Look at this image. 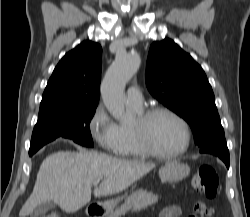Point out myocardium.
<instances>
[{
	"label": "myocardium",
	"mask_w": 250,
	"mask_h": 217,
	"mask_svg": "<svg viewBox=\"0 0 250 217\" xmlns=\"http://www.w3.org/2000/svg\"><path fill=\"white\" fill-rule=\"evenodd\" d=\"M164 113L170 115L175 120H177L183 128L184 131V144L183 146L173 152L163 153L157 150L149 140L147 133V125L151 118L157 114ZM133 132L135 134L136 140L141 147V149L149 156L160 158V159H170L178 157L184 154L190 146L191 143V131L187 121L176 111L166 106H152L144 111H142L137 118V123L133 126Z\"/></svg>",
	"instance_id": "obj_1"
}]
</instances>
